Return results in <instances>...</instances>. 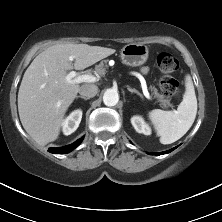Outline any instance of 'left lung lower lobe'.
<instances>
[{"label": "left lung lower lobe", "mask_w": 222, "mask_h": 222, "mask_svg": "<svg viewBox=\"0 0 222 222\" xmlns=\"http://www.w3.org/2000/svg\"><path fill=\"white\" fill-rule=\"evenodd\" d=\"M175 148H176V147H175ZM175 148L170 149V150H168V151H164V152H160V153H155V154H153V155H162V154H166V153H169V152L173 151Z\"/></svg>", "instance_id": "obj_1"}]
</instances>
